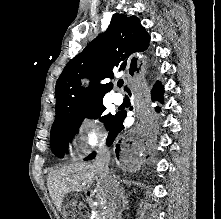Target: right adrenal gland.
<instances>
[{"label":"right adrenal gland","mask_w":221,"mask_h":219,"mask_svg":"<svg viewBox=\"0 0 221 219\" xmlns=\"http://www.w3.org/2000/svg\"><path fill=\"white\" fill-rule=\"evenodd\" d=\"M127 198H128V196L126 197V203H125V204H128V202H129V201L127 200ZM124 208H125V207H124Z\"/></svg>","instance_id":"1"}]
</instances>
